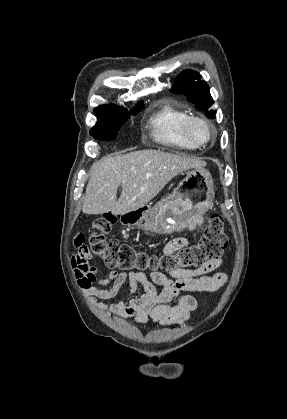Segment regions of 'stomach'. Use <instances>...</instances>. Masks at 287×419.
<instances>
[{"label":"stomach","mask_w":287,"mask_h":419,"mask_svg":"<svg viewBox=\"0 0 287 419\" xmlns=\"http://www.w3.org/2000/svg\"><path fill=\"white\" fill-rule=\"evenodd\" d=\"M214 198L213 178L204 168H194L173 190L153 207L124 212L120 222L148 233L171 234L196 224L210 208Z\"/></svg>","instance_id":"0dacf381"}]
</instances>
